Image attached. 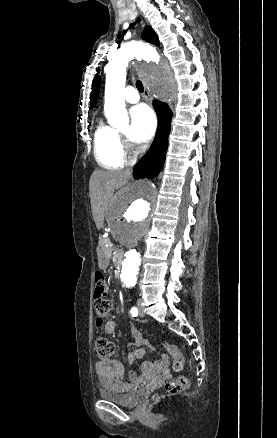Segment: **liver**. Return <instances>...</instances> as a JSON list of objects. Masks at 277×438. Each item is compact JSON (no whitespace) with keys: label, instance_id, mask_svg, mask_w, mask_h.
<instances>
[{"label":"liver","instance_id":"6515ba94","mask_svg":"<svg viewBox=\"0 0 277 438\" xmlns=\"http://www.w3.org/2000/svg\"><path fill=\"white\" fill-rule=\"evenodd\" d=\"M129 178L130 176H126L125 172L94 170L90 178V200L97 230H101L104 224L106 210L110 206L114 190L128 184ZM113 202L115 203V198Z\"/></svg>","mask_w":277,"mask_h":438}]
</instances>
